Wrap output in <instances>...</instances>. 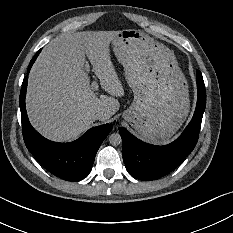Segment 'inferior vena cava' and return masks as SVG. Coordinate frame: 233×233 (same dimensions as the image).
Returning <instances> with one entry per match:
<instances>
[{
  "label": "inferior vena cava",
  "mask_w": 233,
  "mask_h": 233,
  "mask_svg": "<svg viewBox=\"0 0 233 233\" xmlns=\"http://www.w3.org/2000/svg\"><path fill=\"white\" fill-rule=\"evenodd\" d=\"M103 116V111L101 110H95L92 114H91V118L93 120H98L99 118H101Z\"/></svg>",
  "instance_id": "1"
}]
</instances>
